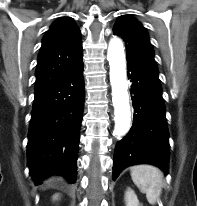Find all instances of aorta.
<instances>
[{
    "instance_id": "762f6f07",
    "label": "aorta",
    "mask_w": 197,
    "mask_h": 206,
    "mask_svg": "<svg viewBox=\"0 0 197 206\" xmlns=\"http://www.w3.org/2000/svg\"><path fill=\"white\" fill-rule=\"evenodd\" d=\"M107 60L110 65V82L114 106L115 126L113 134L117 138L125 135L131 122L128 85L126 81V60L123 43L114 37L109 42Z\"/></svg>"
}]
</instances>
